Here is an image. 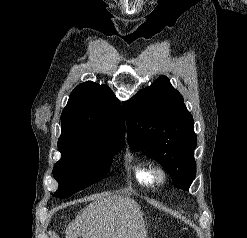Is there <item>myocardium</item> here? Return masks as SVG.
<instances>
[{
    "label": "myocardium",
    "instance_id": "1",
    "mask_svg": "<svg viewBox=\"0 0 247 238\" xmlns=\"http://www.w3.org/2000/svg\"><path fill=\"white\" fill-rule=\"evenodd\" d=\"M152 180L156 184H163L167 180V170L162 165H155L151 168Z\"/></svg>",
    "mask_w": 247,
    "mask_h": 238
}]
</instances>
